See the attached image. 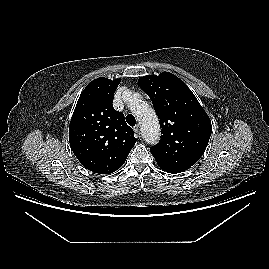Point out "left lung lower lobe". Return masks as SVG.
<instances>
[{
	"mask_svg": "<svg viewBox=\"0 0 269 269\" xmlns=\"http://www.w3.org/2000/svg\"><path fill=\"white\" fill-rule=\"evenodd\" d=\"M159 165V164H158ZM164 171L168 172V173H172V174H175V173H181L185 170H177V169H172V168H167V167H163L161 165H159Z\"/></svg>",
	"mask_w": 269,
	"mask_h": 269,
	"instance_id": "0a47b994",
	"label": "left lung lower lobe"
}]
</instances>
